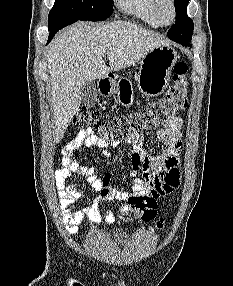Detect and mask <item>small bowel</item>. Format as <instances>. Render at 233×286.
<instances>
[{
    "label": "small bowel",
    "instance_id": "obj_1",
    "mask_svg": "<svg viewBox=\"0 0 233 286\" xmlns=\"http://www.w3.org/2000/svg\"><path fill=\"white\" fill-rule=\"evenodd\" d=\"M182 119L171 117L163 127L156 130V138L161 144V152L152 155L144 149L145 138L141 135L125 139L130 146L131 176L134 177L132 191L127 192L113 188L110 176H99L91 166L80 164L75 155L83 147H97L105 156L110 153L109 147H117L119 142H111L95 135L92 128L79 131L76 137L63 149L62 167L54 174V182L59 197L61 218L67 232L71 236L78 233L79 224L86 218L90 225L97 226L102 222L101 203L118 200L123 202L120 213L128 217L131 215L128 201L139 194L148 193L152 204L140 218L143 221L152 220L156 215V200L172 193L179 185V155L181 149ZM142 170V177H137ZM81 176L86 179L92 190L98 193L96 197H87L75 184L68 183L71 176ZM88 199L89 205L82 209L71 210L70 206L79 200ZM104 222L112 224L115 214L107 210L104 212Z\"/></svg>",
    "mask_w": 233,
    "mask_h": 286
}]
</instances>
